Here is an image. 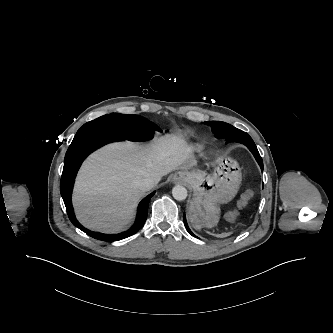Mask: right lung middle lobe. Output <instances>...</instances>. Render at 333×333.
I'll use <instances>...</instances> for the list:
<instances>
[{
    "instance_id": "obj_1",
    "label": "right lung middle lobe",
    "mask_w": 333,
    "mask_h": 333,
    "mask_svg": "<svg viewBox=\"0 0 333 333\" xmlns=\"http://www.w3.org/2000/svg\"><path fill=\"white\" fill-rule=\"evenodd\" d=\"M92 130L111 133L130 141H146L153 137L154 131L161 129L138 115L111 113L84 124L75 136Z\"/></svg>"
}]
</instances>
